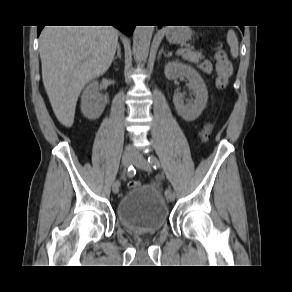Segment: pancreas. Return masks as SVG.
I'll list each match as a JSON object with an SVG mask.
<instances>
[{
    "label": "pancreas",
    "mask_w": 292,
    "mask_h": 292,
    "mask_svg": "<svg viewBox=\"0 0 292 292\" xmlns=\"http://www.w3.org/2000/svg\"><path fill=\"white\" fill-rule=\"evenodd\" d=\"M180 55L184 59L193 63H199L202 59H204V56L201 52L194 51L192 48L183 49V52H181Z\"/></svg>",
    "instance_id": "1"
}]
</instances>
